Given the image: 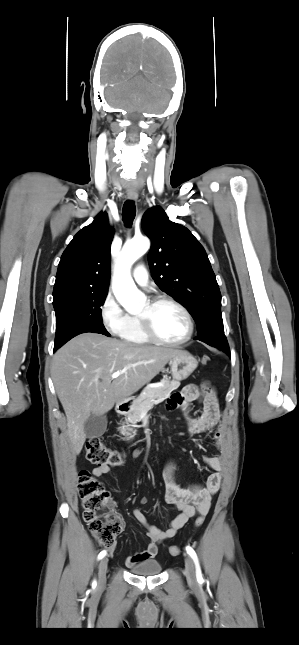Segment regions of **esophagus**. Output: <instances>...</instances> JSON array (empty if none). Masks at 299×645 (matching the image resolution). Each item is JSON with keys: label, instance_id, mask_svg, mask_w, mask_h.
Wrapping results in <instances>:
<instances>
[{"label": "esophagus", "instance_id": "obj_1", "mask_svg": "<svg viewBox=\"0 0 299 645\" xmlns=\"http://www.w3.org/2000/svg\"><path fill=\"white\" fill-rule=\"evenodd\" d=\"M128 199H130L132 201H136L138 199V196L136 194H129Z\"/></svg>", "mask_w": 299, "mask_h": 645}]
</instances>
